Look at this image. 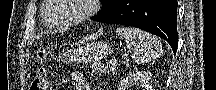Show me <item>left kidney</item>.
Masks as SVG:
<instances>
[{"label": "left kidney", "instance_id": "5707ae66", "mask_svg": "<svg viewBox=\"0 0 216 90\" xmlns=\"http://www.w3.org/2000/svg\"><path fill=\"white\" fill-rule=\"evenodd\" d=\"M151 72H136L121 80L118 90H152Z\"/></svg>", "mask_w": 216, "mask_h": 90}]
</instances>
